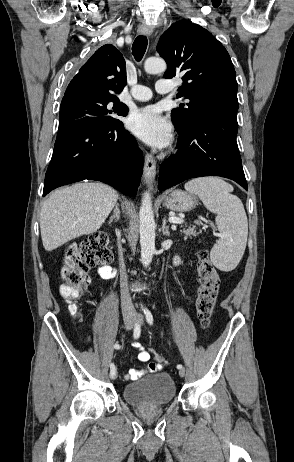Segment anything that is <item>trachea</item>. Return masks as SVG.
<instances>
[{
  "mask_svg": "<svg viewBox=\"0 0 294 462\" xmlns=\"http://www.w3.org/2000/svg\"><path fill=\"white\" fill-rule=\"evenodd\" d=\"M147 45H148V41H147L146 36L139 35L134 40L133 47H132V53L137 61H140L143 58Z\"/></svg>",
  "mask_w": 294,
  "mask_h": 462,
  "instance_id": "trachea-1",
  "label": "trachea"
}]
</instances>
